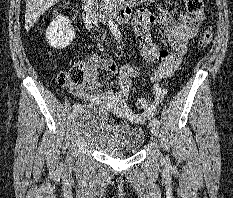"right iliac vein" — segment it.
<instances>
[{"label":"right iliac vein","instance_id":"1","mask_svg":"<svg viewBox=\"0 0 233 198\" xmlns=\"http://www.w3.org/2000/svg\"><path fill=\"white\" fill-rule=\"evenodd\" d=\"M77 114H78V113H77ZM77 114H76V115H77ZM69 161H70V159H69V158H67V162H69Z\"/></svg>","mask_w":233,"mask_h":198}]
</instances>
